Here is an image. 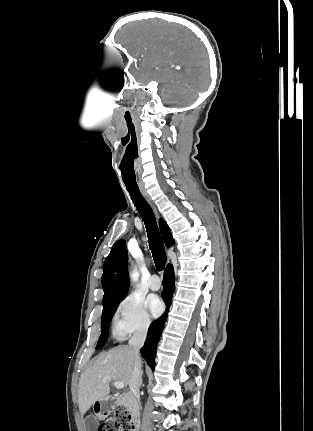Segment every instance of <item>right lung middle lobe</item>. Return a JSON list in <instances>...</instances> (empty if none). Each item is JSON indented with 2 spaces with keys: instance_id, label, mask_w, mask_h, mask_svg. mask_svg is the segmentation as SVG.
Here are the masks:
<instances>
[{
  "instance_id": "obj_1",
  "label": "right lung middle lobe",
  "mask_w": 313,
  "mask_h": 431,
  "mask_svg": "<svg viewBox=\"0 0 313 431\" xmlns=\"http://www.w3.org/2000/svg\"><path fill=\"white\" fill-rule=\"evenodd\" d=\"M124 298L117 299L115 301H112L107 304H103V311H102V322H101V336L99 338V341L97 343L96 349L101 348L106 343V340L108 338V330H109V324L111 322L112 316L114 315L118 305Z\"/></svg>"
}]
</instances>
